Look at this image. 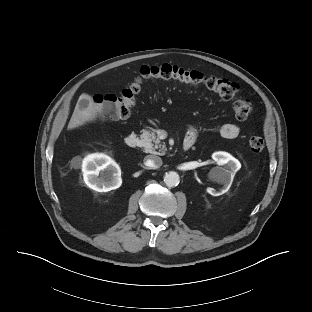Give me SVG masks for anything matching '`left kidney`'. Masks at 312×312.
I'll return each mask as SVG.
<instances>
[{"mask_svg":"<svg viewBox=\"0 0 312 312\" xmlns=\"http://www.w3.org/2000/svg\"><path fill=\"white\" fill-rule=\"evenodd\" d=\"M212 159L218 165H225V167H214L209 173L211 179L223 184V188L217 191L214 188L208 187L207 192L212 196H219L228 191L236 172L241 168V164L227 152H215L212 154Z\"/></svg>","mask_w":312,"mask_h":312,"instance_id":"1","label":"left kidney"}]
</instances>
